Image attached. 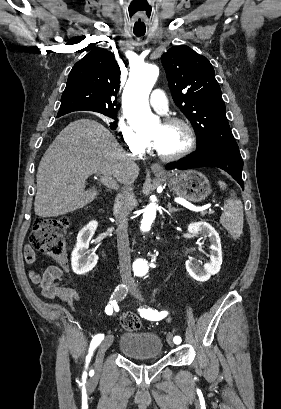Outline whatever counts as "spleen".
I'll list each match as a JSON object with an SVG mask.
<instances>
[{"instance_id": "3e777b00", "label": "spleen", "mask_w": 281, "mask_h": 409, "mask_svg": "<svg viewBox=\"0 0 281 409\" xmlns=\"http://www.w3.org/2000/svg\"><path fill=\"white\" fill-rule=\"evenodd\" d=\"M220 188H227L226 182L223 180H218ZM220 223L225 227L226 231L230 233L233 239H239L240 235L243 233V205L241 200L235 196L227 198L225 200L223 215L220 217Z\"/></svg>"}]
</instances>
